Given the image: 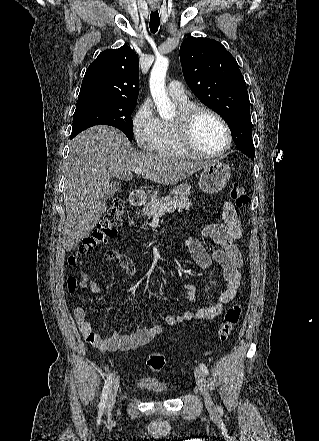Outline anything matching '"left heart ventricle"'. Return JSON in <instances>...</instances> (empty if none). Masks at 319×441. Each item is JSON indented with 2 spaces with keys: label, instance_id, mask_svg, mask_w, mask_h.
<instances>
[{
  "label": "left heart ventricle",
  "instance_id": "1",
  "mask_svg": "<svg viewBox=\"0 0 319 441\" xmlns=\"http://www.w3.org/2000/svg\"><path fill=\"white\" fill-rule=\"evenodd\" d=\"M193 142L204 152H218L226 144V133L222 125L211 115L201 114L193 128Z\"/></svg>",
  "mask_w": 319,
  "mask_h": 441
}]
</instances>
